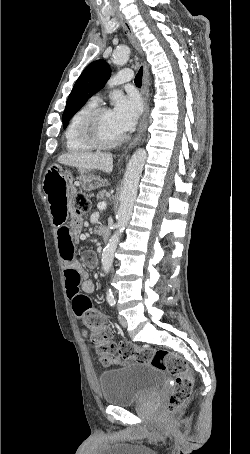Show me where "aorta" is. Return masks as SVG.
Wrapping results in <instances>:
<instances>
[{
    "label": "aorta",
    "instance_id": "obj_1",
    "mask_svg": "<svg viewBox=\"0 0 250 454\" xmlns=\"http://www.w3.org/2000/svg\"><path fill=\"white\" fill-rule=\"evenodd\" d=\"M130 54V48L127 45L119 46L113 53V62L117 65H124ZM147 159V153L144 149H138L134 152L127 165L123 186L120 194V206L116 216V231L109 239L102 253V268L106 274L109 273L114 254L119 243L120 237L124 232L133 212L134 202L137 196L139 180ZM107 298L112 297L111 290L106 292Z\"/></svg>",
    "mask_w": 250,
    "mask_h": 454
}]
</instances>
